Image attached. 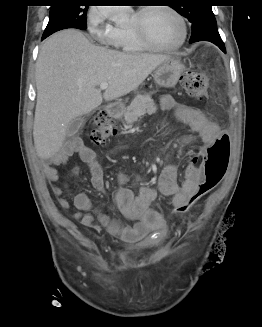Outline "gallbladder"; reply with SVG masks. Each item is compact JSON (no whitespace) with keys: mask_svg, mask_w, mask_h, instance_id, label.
I'll list each match as a JSON object with an SVG mask.
<instances>
[{"mask_svg":"<svg viewBox=\"0 0 262 327\" xmlns=\"http://www.w3.org/2000/svg\"><path fill=\"white\" fill-rule=\"evenodd\" d=\"M83 123H84V119L81 117H77V118L73 119L68 125L67 131H66L67 136L71 137V136L75 135L80 130Z\"/></svg>","mask_w":262,"mask_h":327,"instance_id":"obj_1","label":"gallbladder"}]
</instances>
